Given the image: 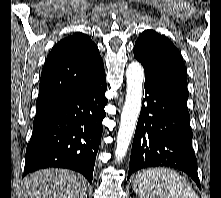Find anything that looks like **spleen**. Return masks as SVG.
<instances>
[{
    "mask_svg": "<svg viewBox=\"0 0 221 198\" xmlns=\"http://www.w3.org/2000/svg\"><path fill=\"white\" fill-rule=\"evenodd\" d=\"M133 190L139 198H198L190 183L169 168L139 173L134 179Z\"/></svg>",
    "mask_w": 221,
    "mask_h": 198,
    "instance_id": "1",
    "label": "spleen"
}]
</instances>
